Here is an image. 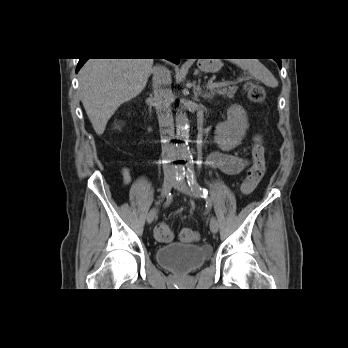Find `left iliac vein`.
<instances>
[{
    "label": "left iliac vein",
    "instance_id": "obj_1",
    "mask_svg": "<svg viewBox=\"0 0 348 348\" xmlns=\"http://www.w3.org/2000/svg\"><path fill=\"white\" fill-rule=\"evenodd\" d=\"M174 187L187 195L197 197V195L190 189V187L184 181L174 182ZM218 228H219V225H218L217 219L215 217H212L210 220L211 232L213 234H216L218 232Z\"/></svg>",
    "mask_w": 348,
    "mask_h": 348
}]
</instances>
